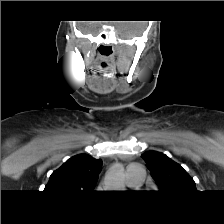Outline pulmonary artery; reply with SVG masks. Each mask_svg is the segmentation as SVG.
Returning a JSON list of instances; mask_svg holds the SVG:
<instances>
[{"label":"pulmonary artery","instance_id":"1","mask_svg":"<svg viewBox=\"0 0 224 224\" xmlns=\"http://www.w3.org/2000/svg\"><path fill=\"white\" fill-rule=\"evenodd\" d=\"M126 177L129 186L138 187L142 185L144 173L140 168L129 166L127 169Z\"/></svg>","mask_w":224,"mask_h":224}]
</instances>
